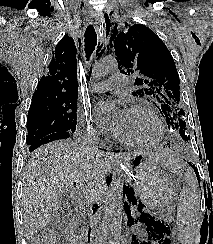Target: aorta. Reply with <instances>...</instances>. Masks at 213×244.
<instances>
[{"label": "aorta", "mask_w": 213, "mask_h": 244, "mask_svg": "<svg viewBox=\"0 0 213 244\" xmlns=\"http://www.w3.org/2000/svg\"><path fill=\"white\" fill-rule=\"evenodd\" d=\"M118 70V64L115 58L106 57L99 60L93 67V77L100 79L105 75ZM104 109L109 112L113 105L109 102H103ZM106 217L110 235L115 244L122 241V217H123V186L120 180H115L110 188L106 200Z\"/></svg>", "instance_id": "1"}]
</instances>
